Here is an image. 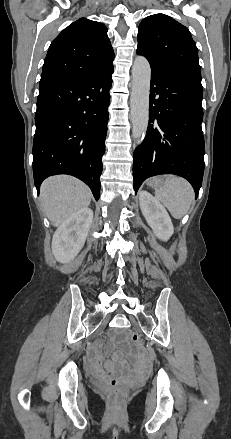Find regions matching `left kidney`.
Returning a JSON list of instances; mask_svg holds the SVG:
<instances>
[{
  "instance_id": "1",
  "label": "left kidney",
  "mask_w": 231,
  "mask_h": 439,
  "mask_svg": "<svg viewBox=\"0 0 231 439\" xmlns=\"http://www.w3.org/2000/svg\"><path fill=\"white\" fill-rule=\"evenodd\" d=\"M139 200L148 225L160 240L167 241L172 236L174 228L166 209L147 191L140 192Z\"/></svg>"
}]
</instances>
